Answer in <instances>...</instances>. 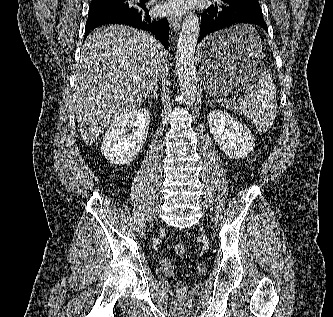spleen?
Segmentation results:
<instances>
[{"mask_svg": "<svg viewBox=\"0 0 333 317\" xmlns=\"http://www.w3.org/2000/svg\"><path fill=\"white\" fill-rule=\"evenodd\" d=\"M243 29L246 30L244 42L252 47L260 37L251 26L244 25ZM231 108L251 120L259 132H267L277 113L276 88L271 73L268 70L261 72L246 88L244 96L237 103H232Z\"/></svg>", "mask_w": 333, "mask_h": 317, "instance_id": "1", "label": "spleen"}]
</instances>
